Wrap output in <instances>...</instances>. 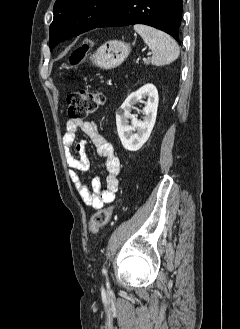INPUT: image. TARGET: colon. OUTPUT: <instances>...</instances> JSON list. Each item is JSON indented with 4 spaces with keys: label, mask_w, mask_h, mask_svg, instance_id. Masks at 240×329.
Instances as JSON below:
<instances>
[{
    "label": "colon",
    "mask_w": 240,
    "mask_h": 329,
    "mask_svg": "<svg viewBox=\"0 0 240 329\" xmlns=\"http://www.w3.org/2000/svg\"><path fill=\"white\" fill-rule=\"evenodd\" d=\"M90 41L86 40L82 46L77 48L70 56L69 63L73 66L79 64L84 58ZM102 93L92 90H78L70 93L67 97L68 114L72 119H82L92 113L103 103ZM114 211V206H109L98 210L93 214L88 222L89 232L96 234L98 230L106 225Z\"/></svg>",
    "instance_id": "1"
}]
</instances>
